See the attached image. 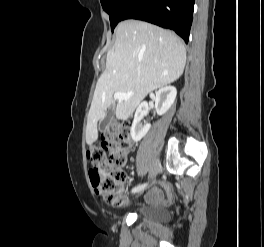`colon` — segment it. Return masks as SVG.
Masks as SVG:
<instances>
[{
	"mask_svg": "<svg viewBox=\"0 0 264 247\" xmlns=\"http://www.w3.org/2000/svg\"><path fill=\"white\" fill-rule=\"evenodd\" d=\"M128 145V129L122 124L112 123L100 133L99 145L89 152L91 184L103 201L113 207H122L126 200L124 167Z\"/></svg>",
	"mask_w": 264,
	"mask_h": 247,
	"instance_id": "1",
	"label": "colon"
}]
</instances>
